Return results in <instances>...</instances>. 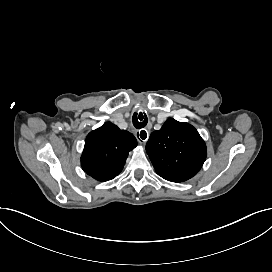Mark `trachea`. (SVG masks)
Returning <instances> with one entry per match:
<instances>
[{
    "mask_svg": "<svg viewBox=\"0 0 272 272\" xmlns=\"http://www.w3.org/2000/svg\"><path fill=\"white\" fill-rule=\"evenodd\" d=\"M133 124L136 128H143L147 124V117L143 121H138L137 117H133ZM142 132L146 133L144 130Z\"/></svg>",
    "mask_w": 272,
    "mask_h": 272,
    "instance_id": "1",
    "label": "trachea"
}]
</instances>
